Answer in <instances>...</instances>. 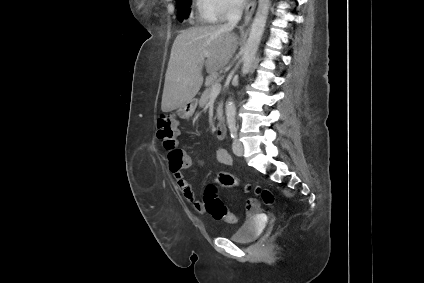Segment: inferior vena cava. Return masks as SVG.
<instances>
[{
	"mask_svg": "<svg viewBox=\"0 0 424 283\" xmlns=\"http://www.w3.org/2000/svg\"><path fill=\"white\" fill-rule=\"evenodd\" d=\"M243 3L241 0H234L230 3L226 18L228 20L227 26H235L240 20L243 13Z\"/></svg>",
	"mask_w": 424,
	"mask_h": 283,
	"instance_id": "602c4592",
	"label": "inferior vena cava"
}]
</instances>
